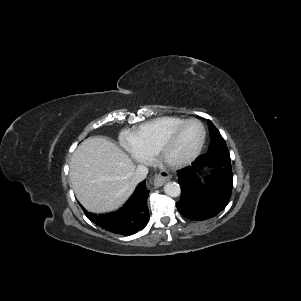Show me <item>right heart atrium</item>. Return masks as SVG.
Returning <instances> with one entry per match:
<instances>
[{
	"instance_id": "right-heart-atrium-1",
	"label": "right heart atrium",
	"mask_w": 301,
	"mask_h": 301,
	"mask_svg": "<svg viewBox=\"0 0 301 301\" xmlns=\"http://www.w3.org/2000/svg\"><path fill=\"white\" fill-rule=\"evenodd\" d=\"M122 145L136 161L140 163H147L150 160V156L137 150L133 146V144L128 140V138L123 139Z\"/></svg>"
}]
</instances>
